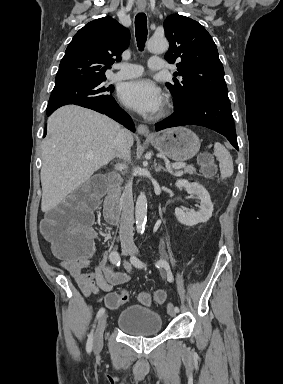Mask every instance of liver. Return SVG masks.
<instances>
[{"label":"liver","mask_w":283,"mask_h":384,"mask_svg":"<svg viewBox=\"0 0 283 384\" xmlns=\"http://www.w3.org/2000/svg\"><path fill=\"white\" fill-rule=\"evenodd\" d=\"M120 130L114 120L80 106H63L48 118L40 174L42 212L56 208L115 158L114 142ZM128 144L133 146L131 134Z\"/></svg>","instance_id":"liver-1"}]
</instances>
